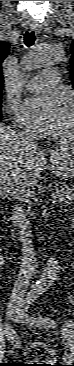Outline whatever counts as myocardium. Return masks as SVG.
Listing matches in <instances>:
<instances>
[{
  "label": "myocardium",
  "mask_w": 74,
  "mask_h": 366,
  "mask_svg": "<svg viewBox=\"0 0 74 366\" xmlns=\"http://www.w3.org/2000/svg\"><path fill=\"white\" fill-rule=\"evenodd\" d=\"M70 109H71V119H72V128L71 131L66 135V136H62V135H56L55 138L57 140H60L64 143H70L72 137H74V106L73 104L70 102Z\"/></svg>",
  "instance_id": "1"
}]
</instances>
